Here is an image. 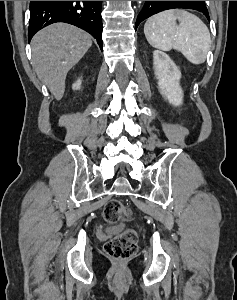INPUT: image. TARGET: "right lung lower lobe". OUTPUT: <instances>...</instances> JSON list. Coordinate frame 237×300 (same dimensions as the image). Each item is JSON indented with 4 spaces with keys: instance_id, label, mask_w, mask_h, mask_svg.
I'll return each mask as SVG.
<instances>
[{
    "instance_id": "right-lung-lower-lobe-1",
    "label": "right lung lower lobe",
    "mask_w": 237,
    "mask_h": 300,
    "mask_svg": "<svg viewBox=\"0 0 237 300\" xmlns=\"http://www.w3.org/2000/svg\"><path fill=\"white\" fill-rule=\"evenodd\" d=\"M102 1H30L29 40L55 23L73 24L90 33L102 49Z\"/></svg>"
}]
</instances>
